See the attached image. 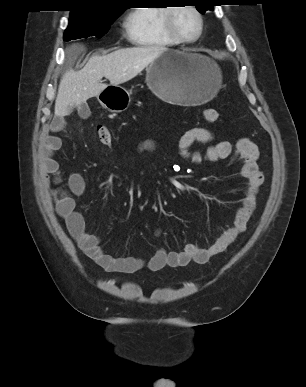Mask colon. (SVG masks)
I'll return each mask as SVG.
<instances>
[{
	"label": "colon",
	"mask_w": 306,
	"mask_h": 387,
	"mask_svg": "<svg viewBox=\"0 0 306 387\" xmlns=\"http://www.w3.org/2000/svg\"><path fill=\"white\" fill-rule=\"evenodd\" d=\"M203 117L207 122L212 123L218 120L219 114L215 109H205L203 111ZM97 134H98L99 141L103 145H106V146L111 145L112 135L108 130V128H106L105 126H99L97 129Z\"/></svg>",
	"instance_id": "1"
}]
</instances>
